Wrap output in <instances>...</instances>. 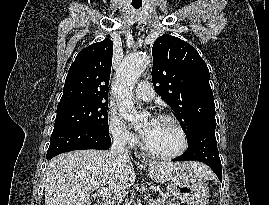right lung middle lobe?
Segmentation results:
<instances>
[{
	"label": "right lung middle lobe",
	"instance_id": "dd1d6c3e",
	"mask_svg": "<svg viewBox=\"0 0 269 205\" xmlns=\"http://www.w3.org/2000/svg\"><path fill=\"white\" fill-rule=\"evenodd\" d=\"M108 102H84L57 106L55 128L78 126L109 134Z\"/></svg>",
	"mask_w": 269,
	"mask_h": 205
}]
</instances>
